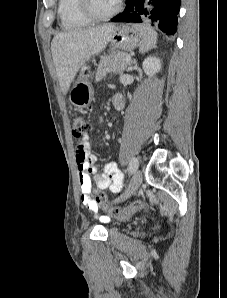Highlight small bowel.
Instances as JSON below:
<instances>
[{"label":"small bowel","instance_id":"1","mask_svg":"<svg viewBox=\"0 0 227 298\" xmlns=\"http://www.w3.org/2000/svg\"><path fill=\"white\" fill-rule=\"evenodd\" d=\"M115 96L122 98L119 94ZM76 163L82 201L93 215H97L98 204L92 192V178L98 189H109L113 193H118L123 187V175L117 170L114 162H107L103 172H99L95 164L96 156L90 152L89 143L82 152L76 151Z\"/></svg>","mask_w":227,"mask_h":298}]
</instances>
